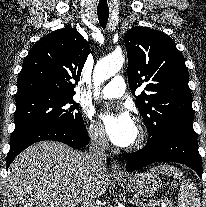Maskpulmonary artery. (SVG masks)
<instances>
[{
    "label": "pulmonary artery",
    "mask_w": 206,
    "mask_h": 207,
    "mask_svg": "<svg viewBox=\"0 0 206 207\" xmlns=\"http://www.w3.org/2000/svg\"><path fill=\"white\" fill-rule=\"evenodd\" d=\"M126 84L122 76H114L103 88L102 96L105 98H118L125 93Z\"/></svg>",
    "instance_id": "e3ab8cb5"
}]
</instances>
